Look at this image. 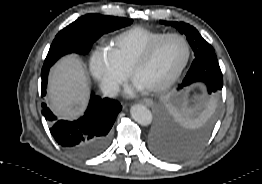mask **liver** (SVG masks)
<instances>
[{
	"label": "liver",
	"mask_w": 262,
	"mask_h": 184,
	"mask_svg": "<svg viewBox=\"0 0 262 184\" xmlns=\"http://www.w3.org/2000/svg\"><path fill=\"white\" fill-rule=\"evenodd\" d=\"M48 95L60 117L72 120L83 113L88 101V77L76 57L67 56L53 68Z\"/></svg>",
	"instance_id": "1"
}]
</instances>
